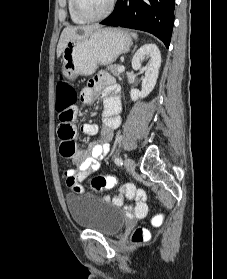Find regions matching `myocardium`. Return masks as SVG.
<instances>
[{
  "mask_svg": "<svg viewBox=\"0 0 227 279\" xmlns=\"http://www.w3.org/2000/svg\"><path fill=\"white\" fill-rule=\"evenodd\" d=\"M72 1H73V8H74L76 15L86 22L99 21V20H102V19L108 17L111 14V12L113 11V9L115 7V3H116V0H110L107 9L103 13H101L98 16H88V15L84 14L82 12V10L80 9L78 0H72Z\"/></svg>",
  "mask_w": 227,
  "mask_h": 279,
  "instance_id": "myocardium-1",
  "label": "myocardium"
}]
</instances>
